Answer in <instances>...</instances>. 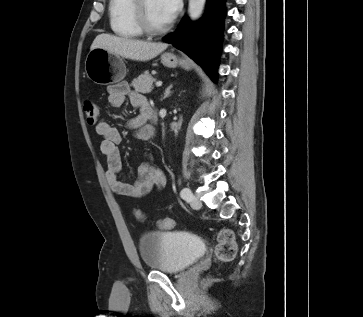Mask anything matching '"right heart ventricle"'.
I'll return each mask as SVG.
<instances>
[{
	"instance_id": "right-heart-ventricle-1",
	"label": "right heart ventricle",
	"mask_w": 363,
	"mask_h": 317,
	"mask_svg": "<svg viewBox=\"0 0 363 317\" xmlns=\"http://www.w3.org/2000/svg\"><path fill=\"white\" fill-rule=\"evenodd\" d=\"M132 5L133 0H109L110 28L118 36L125 38L142 36V31L133 19Z\"/></svg>"
}]
</instances>
